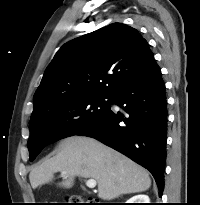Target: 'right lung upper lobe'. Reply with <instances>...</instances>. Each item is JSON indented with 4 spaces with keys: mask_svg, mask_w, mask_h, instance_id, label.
Returning <instances> with one entry per match:
<instances>
[{
    "mask_svg": "<svg viewBox=\"0 0 200 205\" xmlns=\"http://www.w3.org/2000/svg\"><path fill=\"white\" fill-rule=\"evenodd\" d=\"M155 63L147 41L125 24L113 23L64 44L34 94L31 118L74 97L112 96Z\"/></svg>",
    "mask_w": 200,
    "mask_h": 205,
    "instance_id": "obj_1",
    "label": "right lung upper lobe"
}]
</instances>
